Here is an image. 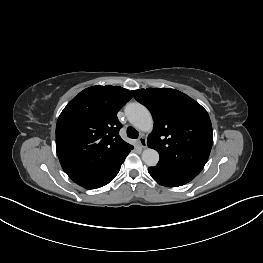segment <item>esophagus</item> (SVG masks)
Returning a JSON list of instances; mask_svg holds the SVG:
<instances>
[{"label": "esophagus", "mask_w": 263, "mask_h": 263, "mask_svg": "<svg viewBox=\"0 0 263 263\" xmlns=\"http://www.w3.org/2000/svg\"><path fill=\"white\" fill-rule=\"evenodd\" d=\"M138 145H139L141 148H146V147H147V142H146L145 137L141 136V137L138 139Z\"/></svg>", "instance_id": "obj_1"}]
</instances>
